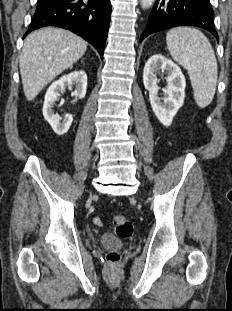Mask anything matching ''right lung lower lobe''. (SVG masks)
<instances>
[{"mask_svg": "<svg viewBox=\"0 0 232 311\" xmlns=\"http://www.w3.org/2000/svg\"><path fill=\"white\" fill-rule=\"evenodd\" d=\"M110 15V0H38L24 37L44 26H58L83 37L102 58Z\"/></svg>", "mask_w": 232, "mask_h": 311, "instance_id": "98d812e1", "label": "right lung lower lobe"}]
</instances>
